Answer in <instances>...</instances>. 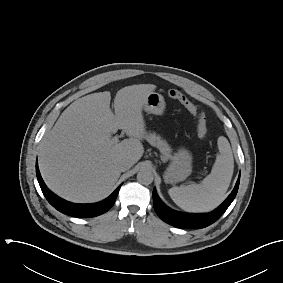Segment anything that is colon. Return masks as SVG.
I'll return each mask as SVG.
<instances>
[{
  "label": "colon",
  "instance_id": "colon-1",
  "mask_svg": "<svg viewBox=\"0 0 283 283\" xmlns=\"http://www.w3.org/2000/svg\"><path fill=\"white\" fill-rule=\"evenodd\" d=\"M169 96L180 102L185 109L196 118L197 133L201 138H205L208 133V128L204 113L179 89H171Z\"/></svg>",
  "mask_w": 283,
  "mask_h": 283
}]
</instances>
